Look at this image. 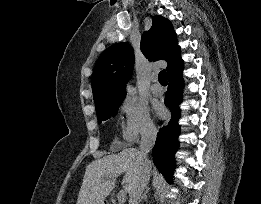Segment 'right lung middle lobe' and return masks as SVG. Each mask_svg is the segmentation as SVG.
<instances>
[{
	"label": "right lung middle lobe",
	"mask_w": 261,
	"mask_h": 204,
	"mask_svg": "<svg viewBox=\"0 0 261 204\" xmlns=\"http://www.w3.org/2000/svg\"><path fill=\"white\" fill-rule=\"evenodd\" d=\"M124 98L125 97H122L114 102L97 105L96 112L98 116V123H101L104 120L114 117L117 113L118 107L121 105Z\"/></svg>",
	"instance_id": "right-lung-middle-lobe-1"
}]
</instances>
